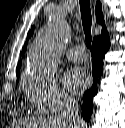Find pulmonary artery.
Returning <instances> with one entry per match:
<instances>
[{"instance_id":"obj_1","label":"pulmonary artery","mask_w":125,"mask_h":128,"mask_svg":"<svg viewBox=\"0 0 125 128\" xmlns=\"http://www.w3.org/2000/svg\"><path fill=\"white\" fill-rule=\"evenodd\" d=\"M67 58L72 62H84L87 54L82 46H75L68 51Z\"/></svg>"}]
</instances>
